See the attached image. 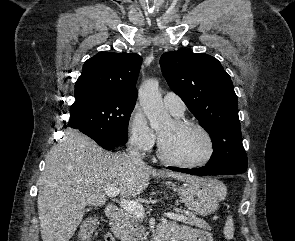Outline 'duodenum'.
<instances>
[{
  "mask_svg": "<svg viewBox=\"0 0 295 241\" xmlns=\"http://www.w3.org/2000/svg\"><path fill=\"white\" fill-rule=\"evenodd\" d=\"M106 215L109 219L115 220L119 218L120 210L116 205H108L106 208ZM154 241H170V237L166 234L158 233Z\"/></svg>",
  "mask_w": 295,
  "mask_h": 241,
  "instance_id": "410a0bca",
  "label": "duodenum"
}]
</instances>
